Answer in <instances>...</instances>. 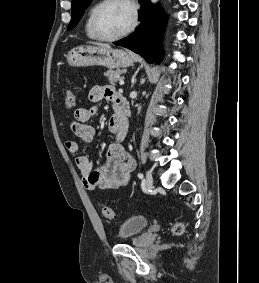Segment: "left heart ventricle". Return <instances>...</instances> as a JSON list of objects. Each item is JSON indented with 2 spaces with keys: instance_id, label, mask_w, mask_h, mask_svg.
<instances>
[{
  "instance_id": "obj_1",
  "label": "left heart ventricle",
  "mask_w": 259,
  "mask_h": 283,
  "mask_svg": "<svg viewBox=\"0 0 259 283\" xmlns=\"http://www.w3.org/2000/svg\"><path fill=\"white\" fill-rule=\"evenodd\" d=\"M131 19L130 7L121 0H115L100 10L97 17L98 30L104 36H115L129 26Z\"/></svg>"
}]
</instances>
